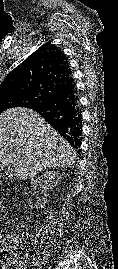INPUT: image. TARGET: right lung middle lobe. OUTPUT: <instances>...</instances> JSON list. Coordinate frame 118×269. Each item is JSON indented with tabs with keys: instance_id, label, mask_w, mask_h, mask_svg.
Instances as JSON below:
<instances>
[{
	"instance_id": "obj_1",
	"label": "right lung middle lobe",
	"mask_w": 118,
	"mask_h": 269,
	"mask_svg": "<svg viewBox=\"0 0 118 269\" xmlns=\"http://www.w3.org/2000/svg\"><path fill=\"white\" fill-rule=\"evenodd\" d=\"M36 98L30 96H3L0 98V113L13 107H30L38 104Z\"/></svg>"
}]
</instances>
